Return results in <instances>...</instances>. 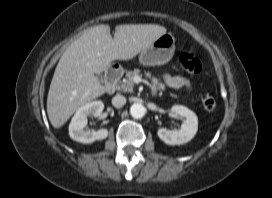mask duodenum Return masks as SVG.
<instances>
[{
	"label": "duodenum",
	"mask_w": 272,
	"mask_h": 198,
	"mask_svg": "<svg viewBox=\"0 0 272 198\" xmlns=\"http://www.w3.org/2000/svg\"><path fill=\"white\" fill-rule=\"evenodd\" d=\"M122 76V69L120 67H113L107 71L105 82H106V90L108 93H114Z\"/></svg>",
	"instance_id": "duodenum-1"
}]
</instances>
